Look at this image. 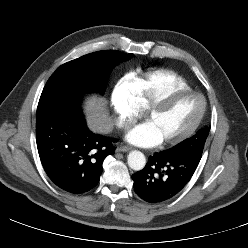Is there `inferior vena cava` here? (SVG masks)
<instances>
[{
  "mask_svg": "<svg viewBox=\"0 0 248 248\" xmlns=\"http://www.w3.org/2000/svg\"><path fill=\"white\" fill-rule=\"evenodd\" d=\"M125 128H129V126L126 124V125H125Z\"/></svg>",
  "mask_w": 248,
  "mask_h": 248,
  "instance_id": "1",
  "label": "inferior vena cava"
}]
</instances>
